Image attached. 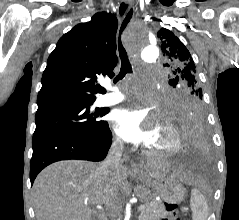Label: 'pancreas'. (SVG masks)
I'll return each mask as SVG.
<instances>
[{
	"instance_id": "1",
	"label": "pancreas",
	"mask_w": 239,
	"mask_h": 220,
	"mask_svg": "<svg viewBox=\"0 0 239 220\" xmlns=\"http://www.w3.org/2000/svg\"><path fill=\"white\" fill-rule=\"evenodd\" d=\"M166 214L165 206L161 201H151L141 211L139 220H159Z\"/></svg>"
}]
</instances>
